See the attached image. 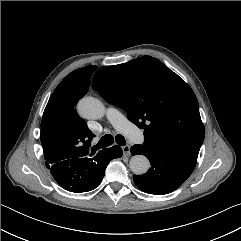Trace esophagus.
<instances>
[{
    "mask_svg": "<svg viewBox=\"0 0 241 241\" xmlns=\"http://www.w3.org/2000/svg\"><path fill=\"white\" fill-rule=\"evenodd\" d=\"M122 151H123L124 155L129 156L130 155V146L129 145L123 146Z\"/></svg>",
    "mask_w": 241,
    "mask_h": 241,
    "instance_id": "34e87169",
    "label": "esophagus"
}]
</instances>
